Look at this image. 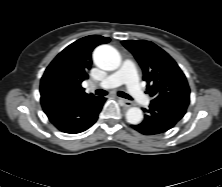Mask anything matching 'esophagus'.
<instances>
[{
	"label": "esophagus",
	"mask_w": 222,
	"mask_h": 187,
	"mask_svg": "<svg viewBox=\"0 0 222 187\" xmlns=\"http://www.w3.org/2000/svg\"><path fill=\"white\" fill-rule=\"evenodd\" d=\"M119 101H120V102L122 103V105H124L125 107H131V106H133V103H132L131 101H129V100L120 98Z\"/></svg>",
	"instance_id": "1"
}]
</instances>
